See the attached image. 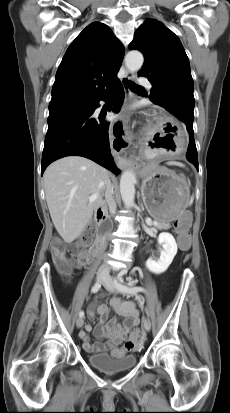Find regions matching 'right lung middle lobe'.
<instances>
[{"mask_svg": "<svg viewBox=\"0 0 230 413\" xmlns=\"http://www.w3.org/2000/svg\"><path fill=\"white\" fill-rule=\"evenodd\" d=\"M85 104H63L49 107V115L83 107Z\"/></svg>", "mask_w": 230, "mask_h": 413, "instance_id": "dd1d6c3e", "label": "right lung middle lobe"}]
</instances>
